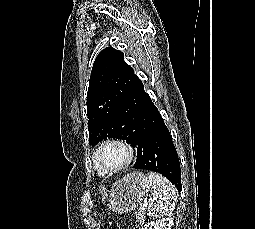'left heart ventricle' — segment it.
<instances>
[{"mask_svg":"<svg viewBox=\"0 0 255 229\" xmlns=\"http://www.w3.org/2000/svg\"><path fill=\"white\" fill-rule=\"evenodd\" d=\"M100 158L105 166L116 167L125 161L126 152L119 146L111 145L104 148Z\"/></svg>","mask_w":255,"mask_h":229,"instance_id":"b2bd125f","label":"left heart ventricle"}]
</instances>
